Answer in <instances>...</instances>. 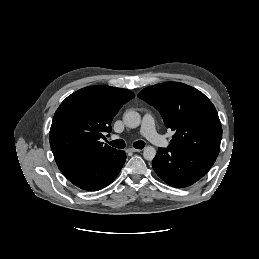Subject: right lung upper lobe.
<instances>
[{"label": "right lung upper lobe", "instance_id": "obj_1", "mask_svg": "<svg viewBox=\"0 0 259 259\" xmlns=\"http://www.w3.org/2000/svg\"><path fill=\"white\" fill-rule=\"evenodd\" d=\"M134 93L122 88L97 85L68 96L55 112L50 146L58 167L75 166L116 149L103 145L100 138L111 131V122Z\"/></svg>", "mask_w": 259, "mask_h": 259}]
</instances>
